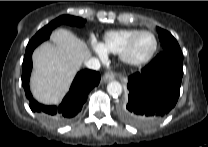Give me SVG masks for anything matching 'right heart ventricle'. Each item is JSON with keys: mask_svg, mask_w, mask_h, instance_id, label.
<instances>
[{"mask_svg": "<svg viewBox=\"0 0 208 147\" xmlns=\"http://www.w3.org/2000/svg\"><path fill=\"white\" fill-rule=\"evenodd\" d=\"M140 31V29L136 28H123L107 31L103 37V45L107 52L119 54L127 42Z\"/></svg>", "mask_w": 208, "mask_h": 147, "instance_id": "right-heart-ventricle-1", "label": "right heart ventricle"}]
</instances>
